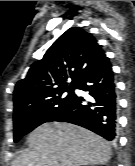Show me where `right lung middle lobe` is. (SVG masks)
Segmentation results:
<instances>
[{
  "instance_id": "obj_1",
  "label": "right lung middle lobe",
  "mask_w": 135,
  "mask_h": 166,
  "mask_svg": "<svg viewBox=\"0 0 135 166\" xmlns=\"http://www.w3.org/2000/svg\"><path fill=\"white\" fill-rule=\"evenodd\" d=\"M74 89L75 87H71L41 101L14 109V142L42 123L52 121L67 109L74 101ZM65 92L68 93L66 96Z\"/></svg>"
}]
</instances>
